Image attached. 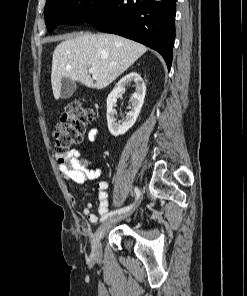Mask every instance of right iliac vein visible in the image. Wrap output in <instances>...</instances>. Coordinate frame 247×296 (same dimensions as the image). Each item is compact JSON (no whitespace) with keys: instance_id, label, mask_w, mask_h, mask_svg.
I'll return each instance as SVG.
<instances>
[{"instance_id":"1","label":"right iliac vein","mask_w":247,"mask_h":296,"mask_svg":"<svg viewBox=\"0 0 247 296\" xmlns=\"http://www.w3.org/2000/svg\"><path fill=\"white\" fill-rule=\"evenodd\" d=\"M135 208L131 209L130 211L121 214L119 216L107 219L104 221L97 231L94 234V237L92 239V256L94 258H99L101 256L102 250H101V239L106 235V233L109 231L111 225L117 221L123 220L127 218L131 213L133 212Z\"/></svg>"}]
</instances>
